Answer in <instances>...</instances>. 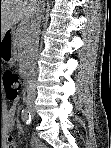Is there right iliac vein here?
Listing matches in <instances>:
<instances>
[{"label": "right iliac vein", "instance_id": "right-iliac-vein-1", "mask_svg": "<svg viewBox=\"0 0 111 148\" xmlns=\"http://www.w3.org/2000/svg\"><path fill=\"white\" fill-rule=\"evenodd\" d=\"M28 111L32 114V115H35V108H34V106H29L28 107Z\"/></svg>", "mask_w": 111, "mask_h": 148}]
</instances>
